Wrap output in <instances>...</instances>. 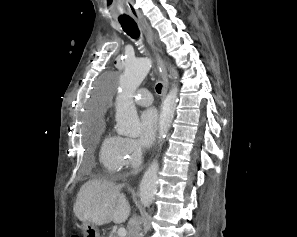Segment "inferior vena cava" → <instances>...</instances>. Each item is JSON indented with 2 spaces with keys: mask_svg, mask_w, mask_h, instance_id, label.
Returning <instances> with one entry per match:
<instances>
[{
  "mask_svg": "<svg viewBox=\"0 0 297 237\" xmlns=\"http://www.w3.org/2000/svg\"><path fill=\"white\" fill-rule=\"evenodd\" d=\"M128 237H141V221L137 216H133L127 225Z\"/></svg>",
  "mask_w": 297,
  "mask_h": 237,
  "instance_id": "obj_1",
  "label": "inferior vena cava"
}]
</instances>
